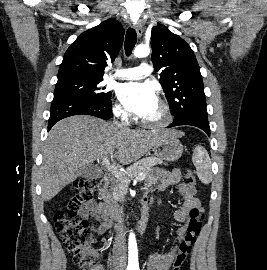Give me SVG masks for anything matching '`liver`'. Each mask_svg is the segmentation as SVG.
I'll return each instance as SVG.
<instances>
[{
    "label": "liver",
    "instance_id": "obj_1",
    "mask_svg": "<svg viewBox=\"0 0 267 270\" xmlns=\"http://www.w3.org/2000/svg\"><path fill=\"white\" fill-rule=\"evenodd\" d=\"M175 130H130L88 115L56 123L48 134L41 166L42 198L51 200L97 159L128 165L146 154Z\"/></svg>",
    "mask_w": 267,
    "mask_h": 270
}]
</instances>
